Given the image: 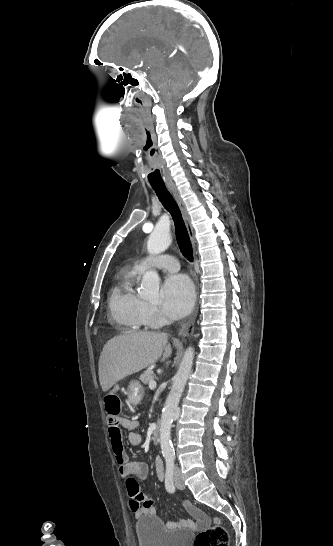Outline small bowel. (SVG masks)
Returning <instances> with one entry per match:
<instances>
[{
    "label": "small bowel",
    "instance_id": "1",
    "mask_svg": "<svg viewBox=\"0 0 333 546\" xmlns=\"http://www.w3.org/2000/svg\"><path fill=\"white\" fill-rule=\"evenodd\" d=\"M120 389L117 386H111L110 392L117 393ZM107 412V411H106ZM108 434L112 451L118 464L120 475L126 479V488L128 492L129 507L138 517L143 513L155 514V501L152 498H146L139 489L137 479H144L148 475V465L145 462H132L128 459L127 454L123 449V442L120 427H124L129 431V442L132 445H140L142 436L136 432L139 426L138 421L128 419L122 416L118 418H109L107 416ZM156 474L158 479L164 478L163 464L160 459L155 461ZM189 513L195 518L197 523L203 524L206 521L205 515L196 507L188 504ZM183 525L184 521L177 523L169 522L168 525Z\"/></svg>",
    "mask_w": 333,
    "mask_h": 546
}]
</instances>
